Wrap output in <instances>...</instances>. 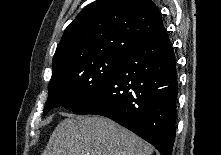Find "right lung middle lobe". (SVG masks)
Masks as SVG:
<instances>
[{
    "label": "right lung middle lobe",
    "mask_w": 221,
    "mask_h": 155,
    "mask_svg": "<svg viewBox=\"0 0 221 155\" xmlns=\"http://www.w3.org/2000/svg\"><path fill=\"white\" fill-rule=\"evenodd\" d=\"M125 54H108L74 61L52 74L44 115L64 105L78 114L113 76Z\"/></svg>",
    "instance_id": "dd1d6c3e"
}]
</instances>
